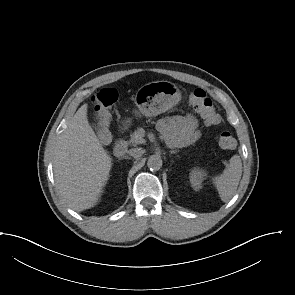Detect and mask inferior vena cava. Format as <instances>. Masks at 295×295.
Masks as SVG:
<instances>
[{
    "label": "inferior vena cava",
    "mask_w": 295,
    "mask_h": 295,
    "mask_svg": "<svg viewBox=\"0 0 295 295\" xmlns=\"http://www.w3.org/2000/svg\"><path fill=\"white\" fill-rule=\"evenodd\" d=\"M129 155L134 158H139L144 154V150L141 148H134L129 150Z\"/></svg>",
    "instance_id": "obj_1"
}]
</instances>
